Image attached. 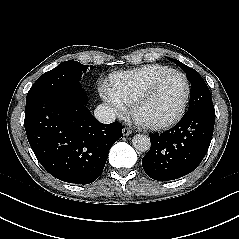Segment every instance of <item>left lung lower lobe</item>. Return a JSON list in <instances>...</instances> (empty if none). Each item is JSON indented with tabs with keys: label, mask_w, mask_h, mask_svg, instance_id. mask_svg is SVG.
<instances>
[{
	"label": "left lung lower lobe",
	"mask_w": 239,
	"mask_h": 239,
	"mask_svg": "<svg viewBox=\"0 0 239 239\" xmlns=\"http://www.w3.org/2000/svg\"><path fill=\"white\" fill-rule=\"evenodd\" d=\"M214 123V107H201L185 113L170 130L150 135L151 148L142 159L145 173L159 181L191 173L209 148Z\"/></svg>",
	"instance_id": "obj_1"
}]
</instances>
